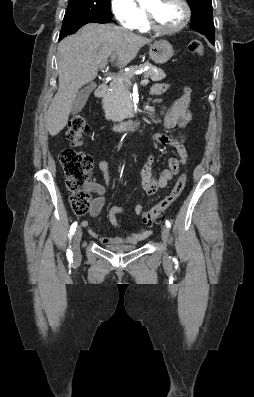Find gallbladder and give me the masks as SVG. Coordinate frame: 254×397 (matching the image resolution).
Returning <instances> with one entry per match:
<instances>
[{
    "instance_id": "gallbladder-1",
    "label": "gallbladder",
    "mask_w": 254,
    "mask_h": 397,
    "mask_svg": "<svg viewBox=\"0 0 254 397\" xmlns=\"http://www.w3.org/2000/svg\"><path fill=\"white\" fill-rule=\"evenodd\" d=\"M95 87V83H90L77 93L71 108L72 114H77L82 110L88 100L89 95L95 89Z\"/></svg>"
}]
</instances>
